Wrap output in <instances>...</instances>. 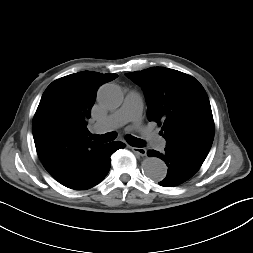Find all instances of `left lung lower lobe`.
Wrapping results in <instances>:
<instances>
[{"label": "left lung lower lobe", "mask_w": 253, "mask_h": 253, "mask_svg": "<svg viewBox=\"0 0 253 253\" xmlns=\"http://www.w3.org/2000/svg\"><path fill=\"white\" fill-rule=\"evenodd\" d=\"M148 155L159 157L168 166L167 176L159 182L164 187L177 186L188 180L199 170L206 158L171 147H166L164 153L149 150Z\"/></svg>", "instance_id": "1"}]
</instances>
